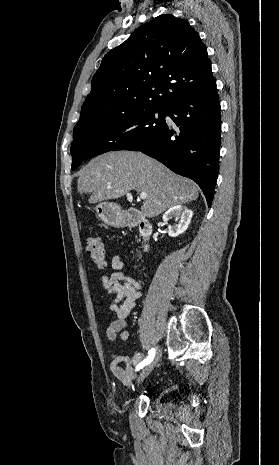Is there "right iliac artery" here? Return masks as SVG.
I'll return each instance as SVG.
<instances>
[{
  "instance_id": "82829eb1",
  "label": "right iliac artery",
  "mask_w": 279,
  "mask_h": 465,
  "mask_svg": "<svg viewBox=\"0 0 279 465\" xmlns=\"http://www.w3.org/2000/svg\"><path fill=\"white\" fill-rule=\"evenodd\" d=\"M154 356H155V349L152 348L149 351V354H148L147 358L137 366L136 370H139V369L143 368L144 366H146L147 364H149L152 361V359L154 358Z\"/></svg>"
}]
</instances>
